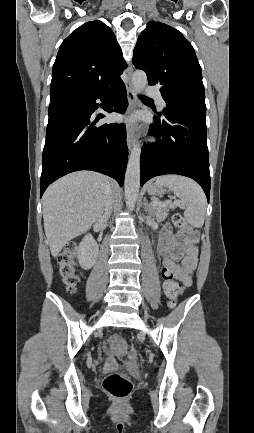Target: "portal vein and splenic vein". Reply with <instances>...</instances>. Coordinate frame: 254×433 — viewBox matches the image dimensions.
I'll return each instance as SVG.
<instances>
[{"label": "portal vein and splenic vein", "instance_id": "1", "mask_svg": "<svg viewBox=\"0 0 254 433\" xmlns=\"http://www.w3.org/2000/svg\"><path fill=\"white\" fill-rule=\"evenodd\" d=\"M175 203L179 204L180 201H179V200H176ZM151 205H152V206H165L166 204L163 203V202H159V201H153V202H151Z\"/></svg>", "mask_w": 254, "mask_h": 433}]
</instances>
